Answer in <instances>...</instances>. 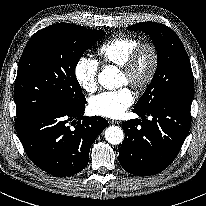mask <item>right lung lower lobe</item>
Masks as SVG:
<instances>
[{"label":"right lung lower lobe","instance_id":"right-lung-lower-lobe-1","mask_svg":"<svg viewBox=\"0 0 206 206\" xmlns=\"http://www.w3.org/2000/svg\"><path fill=\"white\" fill-rule=\"evenodd\" d=\"M85 104L86 100L74 106L41 108L16 118L25 152L40 169L63 177L86 167L89 149L108 122L100 116H83Z\"/></svg>","mask_w":206,"mask_h":206}]
</instances>
